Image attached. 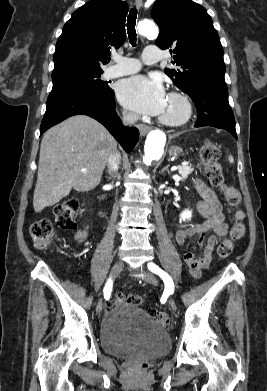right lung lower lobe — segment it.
Segmentation results:
<instances>
[{
    "label": "right lung lower lobe",
    "instance_id": "98d812e1",
    "mask_svg": "<svg viewBox=\"0 0 267 391\" xmlns=\"http://www.w3.org/2000/svg\"><path fill=\"white\" fill-rule=\"evenodd\" d=\"M77 114L88 115L103 124L127 152L134 148L139 132L134 127H124L121 124L115 111L113 90L101 93L71 89L50 94L40 126V135L64 119Z\"/></svg>",
    "mask_w": 267,
    "mask_h": 391
}]
</instances>
